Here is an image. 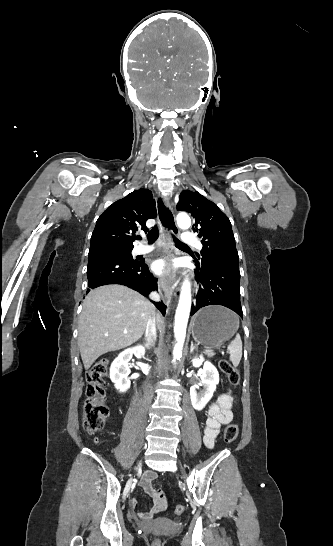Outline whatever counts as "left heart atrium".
Listing matches in <instances>:
<instances>
[{
  "label": "left heart atrium",
  "mask_w": 333,
  "mask_h": 546,
  "mask_svg": "<svg viewBox=\"0 0 333 546\" xmlns=\"http://www.w3.org/2000/svg\"><path fill=\"white\" fill-rule=\"evenodd\" d=\"M152 269L156 274L162 275L169 273L172 269V265L166 259H158L153 262Z\"/></svg>",
  "instance_id": "obj_1"
}]
</instances>
